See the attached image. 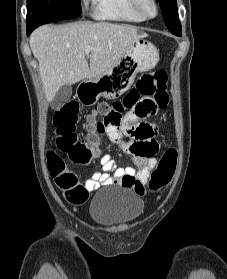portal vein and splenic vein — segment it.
<instances>
[{"label":"portal vein and splenic vein","instance_id":"obj_1","mask_svg":"<svg viewBox=\"0 0 227 279\" xmlns=\"http://www.w3.org/2000/svg\"><path fill=\"white\" fill-rule=\"evenodd\" d=\"M91 50H92V47L88 46V47L86 48V53H89Z\"/></svg>","mask_w":227,"mask_h":279}]
</instances>
